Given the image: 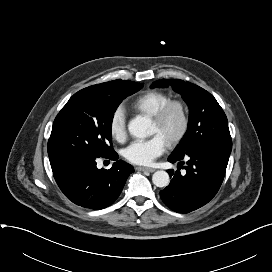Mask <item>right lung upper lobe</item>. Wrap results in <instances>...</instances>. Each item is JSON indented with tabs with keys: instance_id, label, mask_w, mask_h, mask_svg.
I'll return each mask as SVG.
<instances>
[{
	"instance_id": "obj_1",
	"label": "right lung upper lobe",
	"mask_w": 272,
	"mask_h": 272,
	"mask_svg": "<svg viewBox=\"0 0 272 272\" xmlns=\"http://www.w3.org/2000/svg\"><path fill=\"white\" fill-rule=\"evenodd\" d=\"M126 80H113L80 90L81 92H90L94 94L107 95L117 92Z\"/></svg>"
}]
</instances>
